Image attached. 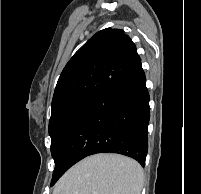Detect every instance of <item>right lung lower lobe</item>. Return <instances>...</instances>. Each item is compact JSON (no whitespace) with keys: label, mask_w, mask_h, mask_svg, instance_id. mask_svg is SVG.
Here are the masks:
<instances>
[{"label":"right lung lower lobe","mask_w":201,"mask_h":194,"mask_svg":"<svg viewBox=\"0 0 201 194\" xmlns=\"http://www.w3.org/2000/svg\"><path fill=\"white\" fill-rule=\"evenodd\" d=\"M149 93L142 66L114 83L67 126L54 153L53 185L73 164L96 153H118L145 165Z\"/></svg>","instance_id":"right-lung-lower-lobe-1"}]
</instances>
